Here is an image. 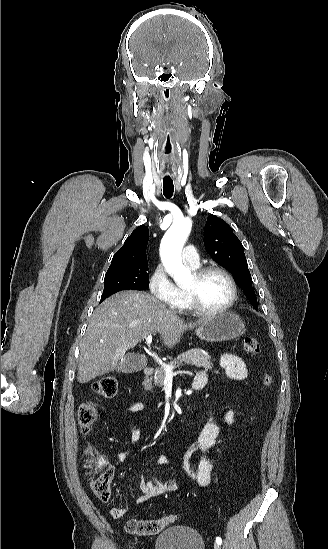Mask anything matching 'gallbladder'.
Wrapping results in <instances>:
<instances>
[{
    "instance_id": "gallbladder-1",
    "label": "gallbladder",
    "mask_w": 328,
    "mask_h": 549,
    "mask_svg": "<svg viewBox=\"0 0 328 549\" xmlns=\"http://www.w3.org/2000/svg\"><path fill=\"white\" fill-rule=\"evenodd\" d=\"M124 363H120L116 367L117 373H138L145 369L147 365V359L145 355H137V353H128L124 357Z\"/></svg>"
}]
</instances>
